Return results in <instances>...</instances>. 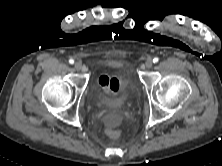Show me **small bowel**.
Returning <instances> with one entry per match:
<instances>
[{
    "label": "small bowel",
    "mask_w": 222,
    "mask_h": 166,
    "mask_svg": "<svg viewBox=\"0 0 222 166\" xmlns=\"http://www.w3.org/2000/svg\"><path fill=\"white\" fill-rule=\"evenodd\" d=\"M98 84L101 89L109 95L117 96L125 86V83L117 77L102 75L98 78Z\"/></svg>",
    "instance_id": "c3829d8e"
}]
</instances>
